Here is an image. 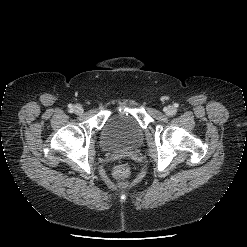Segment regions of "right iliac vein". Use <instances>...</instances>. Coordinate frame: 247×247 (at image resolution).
Returning a JSON list of instances; mask_svg holds the SVG:
<instances>
[{"label": "right iliac vein", "mask_w": 247, "mask_h": 247, "mask_svg": "<svg viewBox=\"0 0 247 247\" xmlns=\"http://www.w3.org/2000/svg\"><path fill=\"white\" fill-rule=\"evenodd\" d=\"M74 111L77 114H81V113H83V108L80 105H76V106H74Z\"/></svg>", "instance_id": "1"}]
</instances>
